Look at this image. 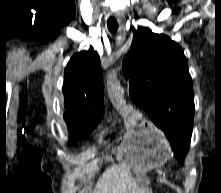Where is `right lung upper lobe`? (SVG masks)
Masks as SVG:
<instances>
[{
  "label": "right lung upper lobe",
  "mask_w": 221,
  "mask_h": 193,
  "mask_svg": "<svg viewBox=\"0 0 221 193\" xmlns=\"http://www.w3.org/2000/svg\"><path fill=\"white\" fill-rule=\"evenodd\" d=\"M99 55L93 49L74 55L68 62L63 93L64 119L69 127L103 117V85Z\"/></svg>",
  "instance_id": "1"
}]
</instances>
